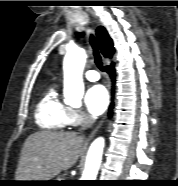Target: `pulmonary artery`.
I'll return each mask as SVG.
<instances>
[{"label":"pulmonary artery","mask_w":178,"mask_h":186,"mask_svg":"<svg viewBox=\"0 0 178 186\" xmlns=\"http://www.w3.org/2000/svg\"><path fill=\"white\" fill-rule=\"evenodd\" d=\"M85 77L89 81H97L100 78L98 72L95 71V70H88V71H86L85 72Z\"/></svg>","instance_id":"obj_1"}]
</instances>
